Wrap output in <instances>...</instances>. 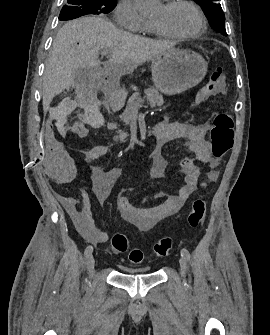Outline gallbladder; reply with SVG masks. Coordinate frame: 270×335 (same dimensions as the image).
<instances>
[{
  "label": "gallbladder",
  "mask_w": 270,
  "mask_h": 335,
  "mask_svg": "<svg viewBox=\"0 0 270 335\" xmlns=\"http://www.w3.org/2000/svg\"><path fill=\"white\" fill-rule=\"evenodd\" d=\"M83 70H81V68H76V70H74V78L75 80H79L80 78V74H82Z\"/></svg>",
  "instance_id": "bac80fb5"
}]
</instances>
